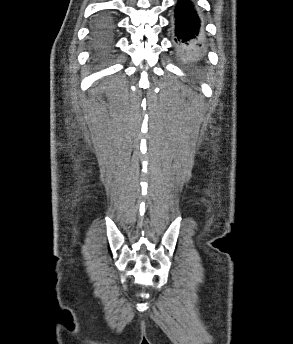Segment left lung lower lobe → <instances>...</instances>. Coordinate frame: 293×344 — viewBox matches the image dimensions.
<instances>
[{
  "mask_svg": "<svg viewBox=\"0 0 293 344\" xmlns=\"http://www.w3.org/2000/svg\"><path fill=\"white\" fill-rule=\"evenodd\" d=\"M201 28L200 19L190 0H178L175 9V41L182 57L194 59L202 51L197 44Z\"/></svg>",
  "mask_w": 293,
  "mask_h": 344,
  "instance_id": "obj_1",
  "label": "left lung lower lobe"
}]
</instances>
